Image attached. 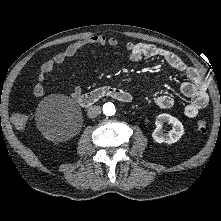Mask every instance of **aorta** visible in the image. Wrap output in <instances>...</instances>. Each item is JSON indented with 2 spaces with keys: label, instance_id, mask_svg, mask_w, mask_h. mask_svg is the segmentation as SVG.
Wrapping results in <instances>:
<instances>
[{
  "label": "aorta",
  "instance_id": "1",
  "mask_svg": "<svg viewBox=\"0 0 221 221\" xmlns=\"http://www.w3.org/2000/svg\"><path fill=\"white\" fill-rule=\"evenodd\" d=\"M115 106L112 104V103H107L105 106H104V113L105 115L107 116H112L115 114Z\"/></svg>",
  "mask_w": 221,
  "mask_h": 221
}]
</instances>
